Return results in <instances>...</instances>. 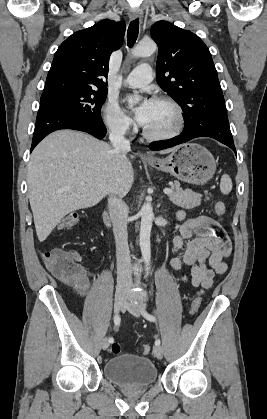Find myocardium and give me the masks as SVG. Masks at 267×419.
<instances>
[{
	"mask_svg": "<svg viewBox=\"0 0 267 419\" xmlns=\"http://www.w3.org/2000/svg\"><path fill=\"white\" fill-rule=\"evenodd\" d=\"M154 101L165 102L171 105L176 113L177 122L171 130L164 133H152L143 126L142 133L144 137L152 141H162L172 139L179 135L185 123L184 112L181 105L174 98L167 95L157 96L155 97Z\"/></svg>",
	"mask_w": 267,
	"mask_h": 419,
	"instance_id": "obj_1",
	"label": "myocardium"
}]
</instances>
